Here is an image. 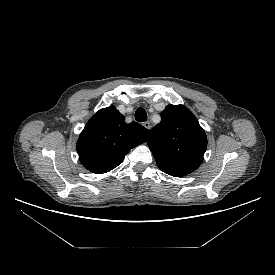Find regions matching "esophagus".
<instances>
[{"label":"esophagus","instance_id":"34e87169","mask_svg":"<svg viewBox=\"0 0 275 275\" xmlns=\"http://www.w3.org/2000/svg\"><path fill=\"white\" fill-rule=\"evenodd\" d=\"M146 129H149L151 128V125H150V122L149 121H146L142 124Z\"/></svg>","mask_w":275,"mask_h":275}]
</instances>
